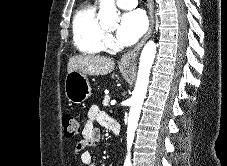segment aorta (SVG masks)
<instances>
[{
  "label": "aorta",
  "instance_id": "1",
  "mask_svg": "<svg viewBox=\"0 0 227 166\" xmlns=\"http://www.w3.org/2000/svg\"><path fill=\"white\" fill-rule=\"evenodd\" d=\"M100 23L102 24H117L119 21V14L116 9L114 0H101L99 10ZM156 54V44L150 40L144 46L139 63L137 81L135 89L131 98V109L128 118L127 131V150L124 166H131L130 149L133 143L135 130L140 117L143 101L146 96L147 87L149 83L150 70Z\"/></svg>",
  "mask_w": 227,
  "mask_h": 166
}]
</instances>
